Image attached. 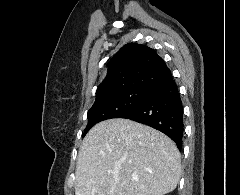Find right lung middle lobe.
I'll use <instances>...</instances> for the list:
<instances>
[{
  "instance_id": "dd1d6c3e",
  "label": "right lung middle lobe",
  "mask_w": 240,
  "mask_h": 195,
  "mask_svg": "<svg viewBox=\"0 0 240 195\" xmlns=\"http://www.w3.org/2000/svg\"><path fill=\"white\" fill-rule=\"evenodd\" d=\"M146 93L141 91H121L96 98L93 106L88 111V124L84 135L95 124L103 120L119 118L138 106L145 98Z\"/></svg>"
}]
</instances>
